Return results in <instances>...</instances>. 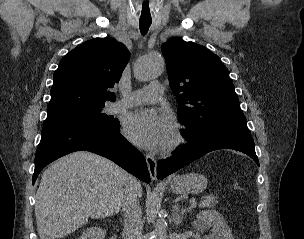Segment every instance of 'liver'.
Masks as SVG:
<instances>
[{"label": "liver", "mask_w": 304, "mask_h": 239, "mask_svg": "<svg viewBox=\"0 0 304 239\" xmlns=\"http://www.w3.org/2000/svg\"><path fill=\"white\" fill-rule=\"evenodd\" d=\"M129 176L110 160L85 151L70 153L52 163L43 172L36 193L40 239L64 238L89 218L118 213ZM136 192L142 196L139 182Z\"/></svg>", "instance_id": "6515ba94"}]
</instances>
